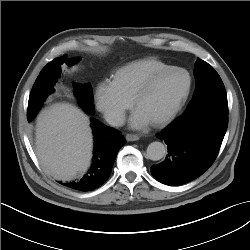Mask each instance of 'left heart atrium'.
Instances as JSON below:
<instances>
[{
	"label": "left heart atrium",
	"instance_id": "39dd6f15",
	"mask_svg": "<svg viewBox=\"0 0 250 250\" xmlns=\"http://www.w3.org/2000/svg\"><path fill=\"white\" fill-rule=\"evenodd\" d=\"M150 124L149 119L143 115L138 109L134 111L130 118V125L136 129H142Z\"/></svg>",
	"mask_w": 250,
	"mask_h": 250
}]
</instances>
